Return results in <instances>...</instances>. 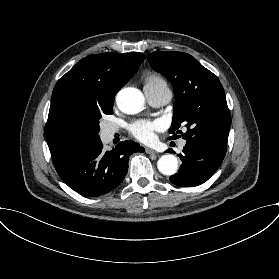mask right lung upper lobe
I'll list each match as a JSON object with an SVG mask.
<instances>
[{"mask_svg": "<svg viewBox=\"0 0 279 279\" xmlns=\"http://www.w3.org/2000/svg\"><path fill=\"white\" fill-rule=\"evenodd\" d=\"M142 53H101L80 60L56 83L45 127L55 168H61L97 143L86 132V108L114 100L116 93L137 72Z\"/></svg>", "mask_w": 279, "mask_h": 279, "instance_id": "right-lung-upper-lobe-1", "label": "right lung upper lobe"}]
</instances>
